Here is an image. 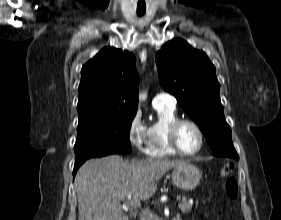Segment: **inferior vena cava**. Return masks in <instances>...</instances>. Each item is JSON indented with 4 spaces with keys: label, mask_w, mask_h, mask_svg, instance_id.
<instances>
[{
    "label": "inferior vena cava",
    "mask_w": 281,
    "mask_h": 220,
    "mask_svg": "<svg viewBox=\"0 0 281 220\" xmlns=\"http://www.w3.org/2000/svg\"><path fill=\"white\" fill-rule=\"evenodd\" d=\"M140 220H156L155 215L148 209H144L141 212Z\"/></svg>",
    "instance_id": "1"
}]
</instances>
